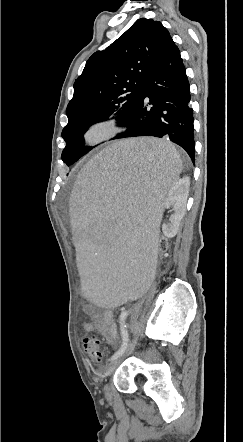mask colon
Returning <instances> with one entry per match:
<instances>
[{
    "label": "colon",
    "instance_id": "obj_1",
    "mask_svg": "<svg viewBox=\"0 0 243 442\" xmlns=\"http://www.w3.org/2000/svg\"><path fill=\"white\" fill-rule=\"evenodd\" d=\"M158 234V257L164 258L168 251L167 234L162 229L157 231ZM83 349L94 363H101L107 353L106 349L100 345L95 335H88L83 339Z\"/></svg>",
    "mask_w": 243,
    "mask_h": 442
}]
</instances>
